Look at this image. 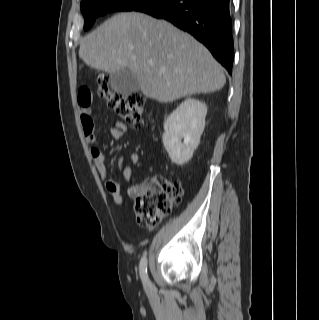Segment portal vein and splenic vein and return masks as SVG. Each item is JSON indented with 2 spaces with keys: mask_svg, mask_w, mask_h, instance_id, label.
<instances>
[{
  "mask_svg": "<svg viewBox=\"0 0 319 320\" xmlns=\"http://www.w3.org/2000/svg\"><path fill=\"white\" fill-rule=\"evenodd\" d=\"M149 65H150V66H152V65H153V63H152V62H150V63H149Z\"/></svg>",
  "mask_w": 319,
  "mask_h": 320,
  "instance_id": "portal-vein-and-splenic-vein-1",
  "label": "portal vein and splenic vein"
}]
</instances>
